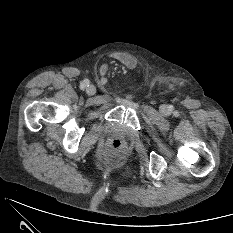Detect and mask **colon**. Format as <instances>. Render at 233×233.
I'll return each instance as SVG.
<instances>
[{"label":"colon","instance_id":"1","mask_svg":"<svg viewBox=\"0 0 233 233\" xmlns=\"http://www.w3.org/2000/svg\"><path fill=\"white\" fill-rule=\"evenodd\" d=\"M123 141L121 139L115 138V139H111L109 141V147L111 148V150L113 151H119L123 148Z\"/></svg>","mask_w":233,"mask_h":233}]
</instances>
